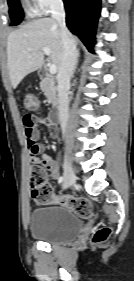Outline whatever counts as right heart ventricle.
Instances as JSON below:
<instances>
[{"label": "right heart ventricle", "mask_w": 134, "mask_h": 281, "mask_svg": "<svg viewBox=\"0 0 134 281\" xmlns=\"http://www.w3.org/2000/svg\"><path fill=\"white\" fill-rule=\"evenodd\" d=\"M25 6L28 15H33L35 13V10L31 7L28 0H25Z\"/></svg>", "instance_id": "e07e8e85"}]
</instances>
